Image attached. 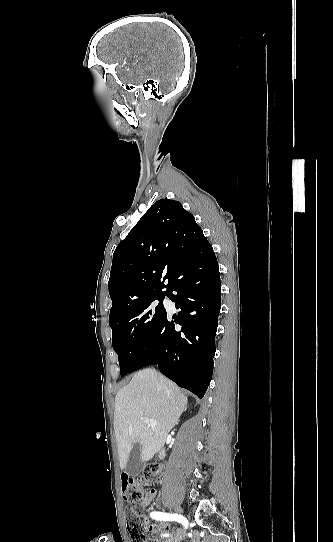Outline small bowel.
I'll return each instance as SVG.
<instances>
[{"mask_svg": "<svg viewBox=\"0 0 333 542\" xmlns=\"http://www.w3.org/2000/svg\"><path fill=\"white\" fill-rule=\"evenodd\" d=\"M119 477H120V479L123 480V479H125L126 476H125V474L122 473V474H120ZM155 496H156L155 489L151 488V489L147 490V492L145 493V497L139 503V505L141 507H143V508L149 507L151 505V503L154 501ZM148 520H149L148 518L144 519L145 527L149 532L159 533V532L167 531L169 529V527H170L168 523L150 524L148 522ZM175 533H176L177 537L181 536V530L180 529H177Z\"/></svg>", "mask_w": 333, "mask_h": 542, "instance_id": "obj_1", "label": "small bowel"}]
</instances>
